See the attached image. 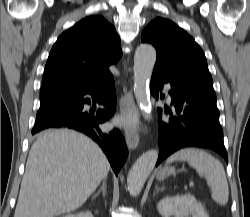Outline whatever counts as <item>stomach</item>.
I'll return each instance as SVG.
<instances>
[{"label": "stomach", "mask_w": 250, "mask_h": 217, "mask_svg": "<svg viewBox=\"0 0 250 217\" xmlns=\"http://www.w3.org/2000/svg\"><path fill=\"white\" fill-rule=\"evenodd\" d=\"M170 174H175V169L173 167H169V166L164 167V168L159 170V172L157 174V179L164 180Z\"/></svg>", "instance_id": "0dacf381"}]
</instances>
